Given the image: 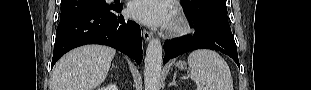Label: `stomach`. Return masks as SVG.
Here are the masks:
<instances>
[{"instance_id": "obj_1", "label": "stomach", "mask_w": 311, "mask_h": 90, "mask_svg": "<svg viewBox=\"0 0 311 90\" xmlns=\"http://www.w3.org/2000/svg\"><path fill=\"white\" fill-rule=\"evenodd\" d=\"M176 66L181 70L186 69V63L182 61L177 62Z\"/></svg>"}]
</instances>
